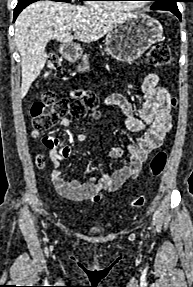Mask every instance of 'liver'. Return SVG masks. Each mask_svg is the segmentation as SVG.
I'll list each match as a JSON object with an SVG mask.
<instances>
[{"instance_id": "liver-1", "label": "liver", "mask_w": 193, "mask_h": 287, "mask_svg": "<svg viewBox=\"0 0 193 287\" xmlns=\"http://www.w3.org/2000/svg\"><path fill=\"white\" fill-rule=\"evenodd\" d=\"M130 13L71 5L54 1H38L26 7L15 22L14 41L21 55V98L41 73L45 51L51 39L68 44L73 39L84 43L98 41L115 27L132 17ZM73 27H79L74 36Z\"/></svg>"}]
</instances>
